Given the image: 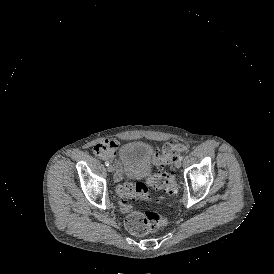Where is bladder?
<instances>
[{
    "instance_id": "31cf9c89",
    "label": "bladder",
    "mask_w": 274,
    "mask_h": 274,
    "mask_svg": "<svg viewBox=\"0 0 274 274\" xmlns=\"http://www.w3.org/2000/svg\"><path fill=\"white\" fill-rule=\"evenodd\" d=\"M152 148L140 140L124 143L119 150L118 158L124 165L125 179L146 178L152 172Z\"/></svg>"
}]
</instances>
